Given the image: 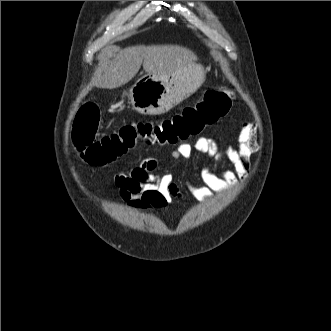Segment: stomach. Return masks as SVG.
Instances as JSON below:
<instances>
[{
	"instance_id": "0dacf381",
	"label": "stomach",
	"mask_w": 331,
	"mask_h": 331,
	"mask_svg": "<svg viewBox=\"0 0 331 331\" xmlns=\"http://www.w3.org/2000/svg\"><path fill=\"white\" fill-rule=\"evenodd\" d=\"M202 65L192 62L179 73L160 78L148 74L138 79L127 96L133 109L143 115H160L193 94L204 81Z\"/></svg>"
}]
</instances>
